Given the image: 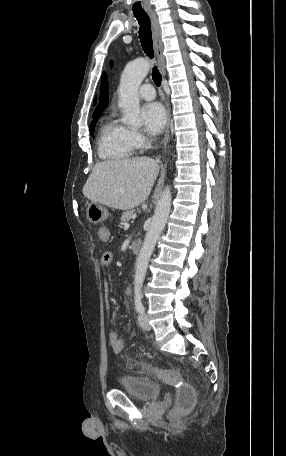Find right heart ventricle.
Masks as SVG:
<instances>
[{
  "label": "right heart ventricle",
  "instance_id": "right-heart-ventricle-1",
  "mask_svg": "<svg viewBox=\"0 0 286 456\" xmlns=\"http://www.w3.org/2000/svg\"><path fill=\"white\" fill-rule=\"evenodd\" d=\"M136 145L130 136L129 128L109 119L102 126L98 138L97 150L101 159L122 161L130 158Z\"/></svg>",
  "mask_w": 286,
  "mask_h": 456
}]
</instances>
